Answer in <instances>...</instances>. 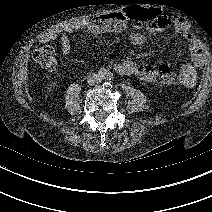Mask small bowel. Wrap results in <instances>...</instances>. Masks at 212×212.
<instances>
[{"mask_svg": "<svg viewBox=\"0 0 212 212\" xmlns=\"http://www.w3.org/2000/svg\"><path fill=\"white\" fill-rule=\"evenodd\" d=\"M131 21L133 28L140 31L145 23H149L156 29H165L170 25L180 31L187 29L186 22L182 18L172 19L155 7H141L138 5L126 6L121 10L101 15L94 20H81L61 23L53 26L39 37L40 43H48L57 39L61 40L63 55L69 56L72 52L71 42L67 36L70 33L86 30L91 33H119L123 31L127 22ZM138 37L139 34L135 33ZM185 46L191 57V63L181 65L178 74V82L184 86H192L196 78L195 66L202 61V54L196 41L192 37H186ZM117 70L124 75H135L141 80L150 81L154 77V70L149 65H137L130 60H124L117 65Z\"/></svg>", "mask_w": 212, "mask_h": 212, "instance_id": "c3829d8e", "label": "small bowel"}]
</instances>
